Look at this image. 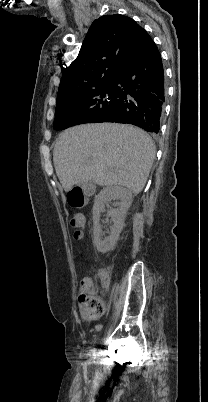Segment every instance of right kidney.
Instances as JSON below:
<instances>
[{
	"label": "right kidney",
	"instance_id": "right-kidney-1",
	"mask_svg": "<svg viewBox=\"0 0 208 402\" xmlns=\"http://www.w3.org/2000/svg\"><path fill=\"white\" fill-rule=\"evenodd\" d=\"M112 200H119V202H116L118 208H115V210H107V216L114 222V226H111L110 236L106 238L105 242H101L100 214L101 212H105L106 206L109 208V204ZM131 204L132 194L130 190L122 188V186H106V188H103V190L99 192L98 196H95V204L93 206V244L96 246L98 252L106 254L108 250H111V248L115 246L119 234H121L123 230L125 214H127ZM106 242H109V244H106Z\"/></svg>",
	"mask_w": 208,
	"mask_h": 402
}]
</instances>
